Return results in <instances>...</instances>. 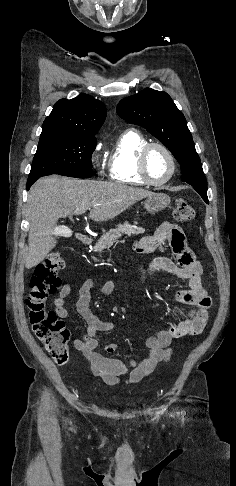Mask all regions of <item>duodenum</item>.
I'll list each match as a JSON object with an SVG mask.
<instances>
[{"mask_svg":"<svg viewBox=\"0 0 236 486\" xmlns=\"http://www.w3.org/2000/svg\"><path fill=\"white\" fill-rule=\"evenodd\" d=\"M76 238L82 244H88L90 242L89 237L87 235L83 234V233H80V232L76 234Z\"/></svg>","mask_w":236,"mask_h":486,"instance_id":"duodenum-1","label":"duodenum"}]
</instances>
